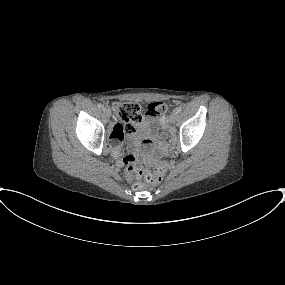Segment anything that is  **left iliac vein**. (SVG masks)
I'll list each match as a JSON object with an SVG mask.
<instances>
[{"mask_svg": "<svg viewBox=\"0 0 285 285\" xmlns=\"http://www.w3.org/2000/svg\"><path fill=\"white\" fill-rule=\"evenodd\" d=\"M178 115H179V113H177L175 110L171 113V115H170V121L172 122V123H175L176 121H177V119H178Z\"/></svg>", "mask_w": 285, "mask_h": 285, "instance_id": "left-iliac-vein-1", "label": "left iliac vein"}]
</instances>
